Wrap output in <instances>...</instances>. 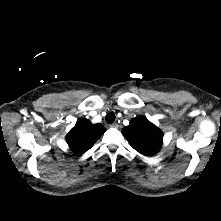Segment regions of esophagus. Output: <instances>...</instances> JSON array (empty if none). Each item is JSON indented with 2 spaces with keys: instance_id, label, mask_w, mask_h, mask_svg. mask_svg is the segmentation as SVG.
Segmentation results:
<instances>
[{
  "instance_id": "1",
  "label": "esophagus",
  "mask_w": 221,
  "mask_h": 221,
  "mask_svg": "<svg viewBox=\"0 0 221 221\" xmlns=\"http://www.w3.org/2000/svg\"><path fill=\"white\" fill-rule=\"evenodd\" d=\"M110 127H112V128H118L119 125H118L117 123H113V124L110 125Z\"/></svg>"
}]
</instances>
